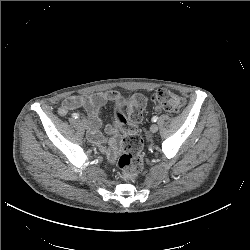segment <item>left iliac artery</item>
<instances>
[{
	"mask_svg": "<svg viewBox=\"0 0 250 250\" xmlns=\"http://www.w3.org/2000/svg\"><path fill=\"white\" fill-rule=\"evenodd\" d=\"M157 120H158V117H157V116L152 117V121H153V122H156Z\"/></svg>",
	"mask_w": 250,
	"mask_h": 250,
	"instance_id": "44dca946",
	"label": "left iliac artery"
}]
</instances>
